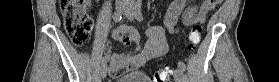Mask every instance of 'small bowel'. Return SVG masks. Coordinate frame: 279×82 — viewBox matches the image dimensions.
<instances>
[{"label": "small bowel", "mask_w": 279, "mask_h": 82, "mask_svg": "<svg viewBox=\"0 0 279 82\" xmlns=\"http://www.w3.org/2000/svg\"><path fill=\"white\" fill-rule=\"evenodd\" d=\"M214 6L203 1L201 6L189 5V0H174L168 7L163 26H154L148 32V39L141 46L140 34L134 27L121 25L113 30L112 38L125 46H133L128 52H114L108 43L104 47V58L109 66V73L120 76L126 71L140 69L147 61L162 56L168 51L166 32H175L181 16L184 26H192L205 22Z\"/></svg>", "instance_id": "small-bowel-1"}]
</instances>
